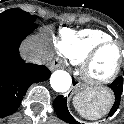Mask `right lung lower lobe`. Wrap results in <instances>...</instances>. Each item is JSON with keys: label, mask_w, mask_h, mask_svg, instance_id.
Instances as JSON below:
<instances>
[{"label": "right lung lower lobe", "mask_w": 124, "mask_h": 124, "mask_svg": "<svg viewBox=\"0 0 124 124\" xmlns=\"http://www.w3.org/2000/svg\"><path fill=\"white\" fill-rule=\"evenodd\" d=\"M37 28L35 23L0 24V118L13 114L31 84L49 79L44 65L25 63L21 42Z\"/></svg>", "instance_id": "98d812e1"}]
</instances>
